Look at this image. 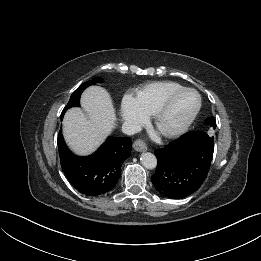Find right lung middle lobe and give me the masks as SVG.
Listing matches in <instances>:
<instances>
[{"mask_svg": "<svg viewBox=\"0 0 261 261\" xmlns=\"http://www.w3.org/2000/svg\"><path fill=\"white\" fill-rule=\"evenodd\" d=\"M98 78H94L93 80H90V81H87L85 82L84 84L80 85L74 92L73 94L71 95L70 97V100L68 102V104L65 106V108L63 109L62 111V114H61V118L63 117L65 111L71 107H74V106H80V96L83 92V90L90 86V85H94L96 83H98Z\"/></svg>", "mask_w": 261, "mask_h": 261, "instance_id": "1", "label": "right lung middle lobe"}]
</instances>
